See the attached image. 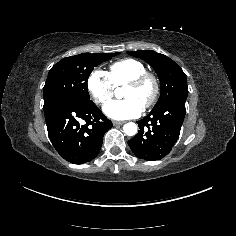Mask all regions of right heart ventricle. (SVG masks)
<instances>
[{"instance_id":"e07e8e85","label":"right heart ventricle","mask_w":236,"mask_h":236,"mask_svg":"<svg viewBox=\"0 0 236 236\" xmlns=\"http://www.w3.org/2000/svg\"><path fill=\"white\" fill-rule=\"evenodd\" d=\"M145 71L146 67L141 61L134 58H124L111 64L108 74L116 87L121 88L131 78Z\"/></svg>"}]
</instances>
